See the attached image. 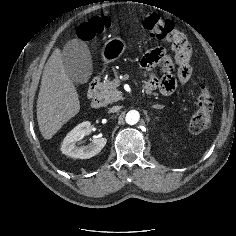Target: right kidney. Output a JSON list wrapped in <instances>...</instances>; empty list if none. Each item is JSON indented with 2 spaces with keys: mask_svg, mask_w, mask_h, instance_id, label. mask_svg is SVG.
Segmentation results:
<instances>
[{
  "mask_svg": "<svg viewBox=\"0 0 236 236\" xmlns=\"http://www.w3.org/2000/svg\"><path fill=\"white\" fill-rule=\"evenodd\" d=\"M90 122H82L70 131L64 138L61 151L63 154L80 159H89L97 155L106 145V138H95L86 146H77L76 143L90 132Z\"/></svg>",
  "mask_w": 236,
  "mask_h": 236,
  "instance_id": "ca27d5eb",
  "label": "right kidney"
}]
</instances>
